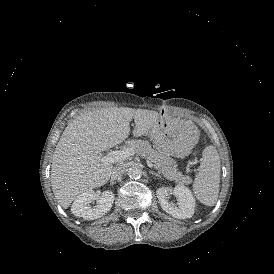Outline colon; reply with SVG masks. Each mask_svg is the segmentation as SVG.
I'll use <instances>...</instances> for the list:
<instances>
[{
    "mask_svg": "<svg viewBox=\"0 0 274 274\" xmlns=\"http://www.w3.org/2000/svg\"><path fill=\"white\" fill-rule=\"evenodd\" d=\"M190 168V161H187L185 163V166L183 167V170L186 172V169H189Z\"/></svg>",
    "mask_w": 274,
    "mask_h": 274,
    "instance_id": "obj_1",
    "label": "colon"
}]
</instances>
